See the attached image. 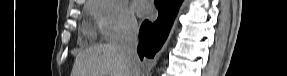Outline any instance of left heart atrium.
Returning <instances> with one entry per match:
<instances>
[{"label":"left heart atrium","instance_id":"1","mask_svg":"<svg viewBox=\"0 0 287 76\" xmlns=\"http://www.w3.org/2000/svg\"><path fill=\"white\" fill-rule=\"evenodd\" d=\"M136 11L143 17H147L152 14V7L147 1H137L134 5Z\"/></svg>","mask_w":287,"mask_h":76}]
</instances>
